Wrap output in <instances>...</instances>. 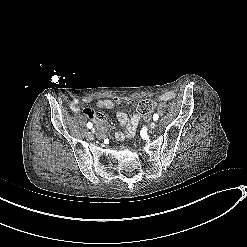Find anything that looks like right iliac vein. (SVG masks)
Here are the masks:
<instances>
[{"label": "right iliac vein", "instance_id": "1", "mask_svg": "<svg viewBox=\"0 0 247 247\" xmlns=\"http://www.w3.org/2000/svg\"><path fill=\"white\" fill-rule=\"evenodd\" d=\"M92 133H96V129L95 128H92Z\"/></svg>", "mask_w": 247, "mask_h": 247}]
</instances>
